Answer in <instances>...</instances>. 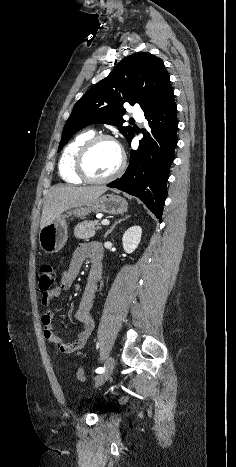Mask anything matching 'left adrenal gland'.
<instances>
[{
    "mask_svg": "<svg viewBox=\"0 0 236 467\" xmlns=\"http://www.w3.org/2000/svg\"><path fill=\"white\" fill-rule=\"evenodd\" d=\"M128 218H130V216H125V218L116 221V222L112 225V227H111L109 230H107V232H106L105 235H104V238L106 239L107 236L116 228V226H117L118 224H120L121 222L127 220Z\"/></svg>",
    "mask_w": 236,
    "mask_h": 467,
    "instance_id": "1",
    "label": "left adrenal gland"
}]
</instances>
